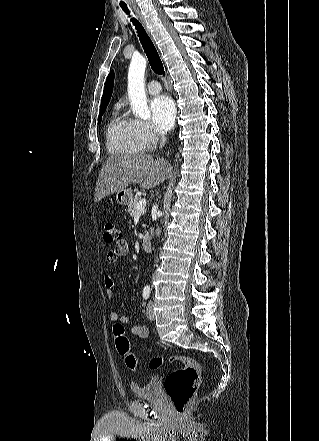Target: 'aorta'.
<instances>
[{
    "label": "aorta",
    "mask_w": 319,
    "mask_h": 441,
    "mask_svg": "<svg viewBox=\"0 0 319 441\" xmlns=\"http://www.w3.org/2000/svg\"><path fill=\"white\" fill-rule=\"evenodd\" d=\"M145 69L146 59L143 56L132 58L128 71V96L134 116L149 120L151 112L145 94Z\"/></svg>",
    "instance_id": "1"
}]
</instances>
